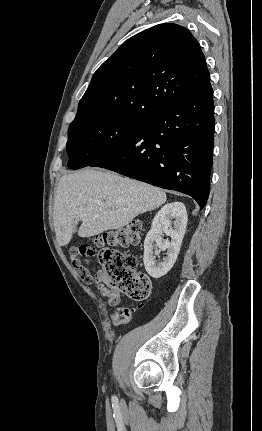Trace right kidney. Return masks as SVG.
I'll return each instance as SVG.
<instances>
[{"mask_svg":"<svg viewBox=\"0 0 262 431\" xmlns=\"http://www.w3.org/2000/svg\"><path fill=\"white\" fill-rule=\"evenodd\" d=\"M171 219H174L171 227ZM187 212L181 202H173L163 206L155 215L151 230L144 240V266L147 273L153 278H160L171 270L178 257L181 243L187 226ZM163 233L171 237V242L162 238ZM167 249L163 261L157 262L154 250Z\"/></svg>","mask_w":262,"mask_h":431,"instance_id":"1","label":"right kidney"}]
</instances>
